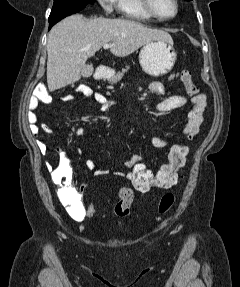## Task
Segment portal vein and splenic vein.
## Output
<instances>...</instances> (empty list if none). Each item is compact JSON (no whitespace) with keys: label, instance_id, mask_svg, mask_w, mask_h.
Segmentation results:
<instances>
[{"label":"portal vein and splenic vein","instance_id":"18ae733b","mask_svg":"<svg viewBox=\"0 0 240 287\" xmlns=\"http://www.w3.org/2000/svg\"><path fill=\"white\" fill-rule=\"evenodd\" d=\"M111 46H112V44L108 43V44H104V45H103V48H104V49H108V48H110Z\"/></svg>","mask_w":240,"mask_h":287}]
</instances>
